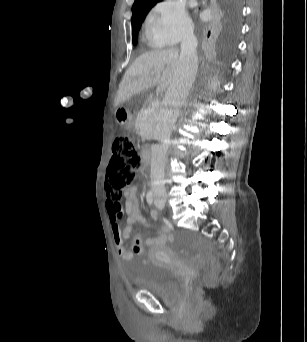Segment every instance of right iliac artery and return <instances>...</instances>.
<instances>
[{
    "mask_svg": "<svg viewBox=\"0 0 307 342\" xmlns=\"http://www.w3.org/2000/svg\"><path fill=\"white\" fill-rule=\"evenodd\" d=\"M146 198H147V202H148L149 204H152V202H153V193H152L151 191H149V192L147 193Z\"/></svg>",
    "mask_w": 307,
    "mask_h": 342,
    "instance_id": "right-iliac-artery-1",
    "label": "right iliac artery"
}]
</instances>
